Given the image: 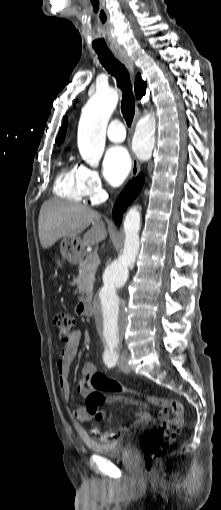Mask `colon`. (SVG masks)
<instances>
[{"mask_svg":"<svg viewBox=\"0 0 221 510\" xmlns=\"http://www.w3.org/2000/svg\"><path fill=\"white\" fill-rule=\"evenodd\" d=\"M54 325L58 331L61 341L68 342L75 332V320L67 312L59 311L55 313ZM89 384L93 392L86 396V406L88 409H94L105 402L102 392L110 393H130L141 397L135 391L126 388L120 382L109 378L101 372H95L89 377ZM116 401L115 398L112 399ZM131 404L146 406L148 402L162 407L157 412L156 421L161 424L150 431L144 441V470L147 474H151L157 459L168 449L169 445L178 437L184 422V406L178 399H165L158 396L150 395L141 397L139 401L131 399L126 400ZM94 411V410H93ZM172 414V418H168V413ZM97 420H101L104 416L101 412L94 411Z\"/></svg>","mask_w":221,"mask_h":510,"instance_id":"obj_1","label":"colon"}]
</instances>
